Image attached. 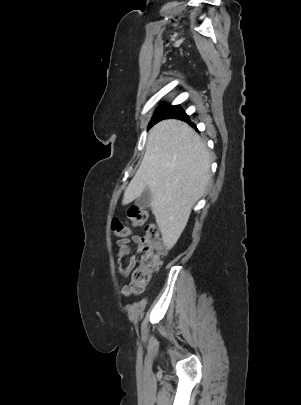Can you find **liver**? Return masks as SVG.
Returning a JSON list of instances; mask_svg holds the SVG:
<instances>
[{
    "label": "liver",
    "instance_id": "1",
    "mask_svg": "<svg viewBox=\"0 0 301 405\" xmlns=\"http://www.w3.org/2000/svg\"><path fill=\"white\" fill-rule=\"evenodd\" d=\"M210 158L206 143L183 121L163 120L149 131L144 158L122 203L129 204L145 189L151 191L150 206L167 249L177 242L206 190Z\"/></svg>",
    "mask_w": 301,
    "mask_h": 405
}]
</instances>
